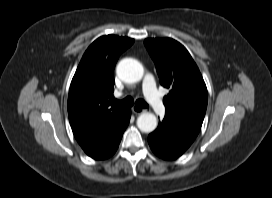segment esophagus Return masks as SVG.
<instances>
[{
	"label": "esophagus",
	"instance_id": "1",
	"mask_svg": "<svg viewBox=\"0 0 272 198\" xmlns=\"http://www.w3.org/2000/svg\"><path fill=\"white\" fill-rule=\"evenodd\" d=\"M132 111H133L134 114H141V113L146 112L147 110L146 109H142V108H140L138 106H133L132 107Z\"/></svg>",
	"mask_w": 272,
	"mask_h": 198
}]
</instances>
